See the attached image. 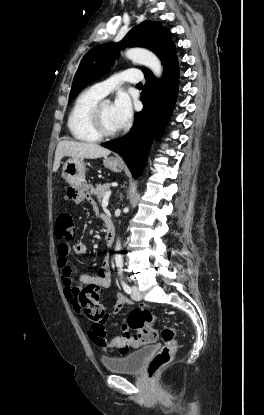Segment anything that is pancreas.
Returning a JSON list of instances; mask_svg holds the SVG:
<instances>
[{"instance_id":"1","label":"pancreas","mask_w":264,"mask_h":415,"mask_svg":"<svg viewBox=\"0 0 264 415\" xmlns=\"http://www.w3.org/2000/svg\"><path fill=\"white\" fill-rule=\"evenodd\" d=\"M109 189L108 185H101V184H97L95 187L91 188V194L95 195L98 199V201H102L105 194L107 193Z\"/></svg>"}]
</instances>
